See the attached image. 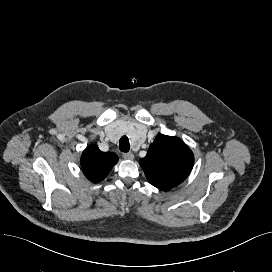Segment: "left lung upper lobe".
I'll return each mask as SVG.
<instances>
[{
  "label": "left lung upper lobe",
  "instance_id": "5c2ea615",
  "mask_svg": "<svg viewBox=\"0 0 272 272\" xmlns=\"http://www.w3.org/2000/svg\"><path fill=\"white\" fill-rule=\"evenodd\" d=\"M139 163L150 184L168 191L183 182L190 174L194 156L178 137L158 134L146 157Z\"/></svg>",
  "mask_w": 272,
  "mask_h": 272
}]
</instances>
